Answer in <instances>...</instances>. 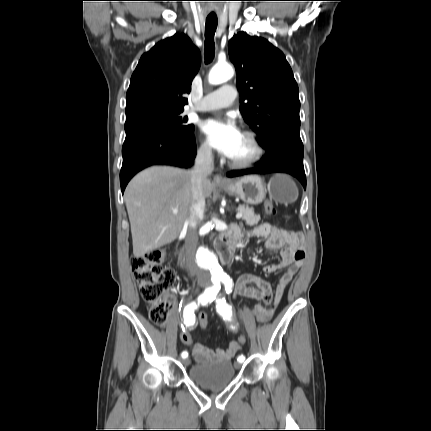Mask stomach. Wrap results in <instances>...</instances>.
Here are the masks:
<instances>
[{
	"mask_svg": "<svg viewBox=\"0 0 431 431\" xmlns=\"http://www.w3.org/2000/svg\"><path fill=\"white\" fill-rule=\"evenodd\" d=\"M222 188L230 195L239 197L245 203L251 205L260 204L265 199L267 193L266 186L261 178L256 175L232 180ZM268 192L270 198L281 203L293 202L298 196L296 185L284 175H276L271 179L268 185Z\"/></svg>",
	"mask_w": 431,
	"mask_h": 431,
	"instance_id": "0dacf381",
	"label": "stomach"
}]
</instances>
